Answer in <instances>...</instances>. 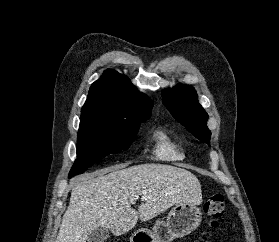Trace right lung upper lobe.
<instances>
[{"instance_id":"right-lung-upper-lobe-1","label":"right lung upper lobe","mask_w":279,"mask_h":242,"mask_svg":"<svg viewBox=\"0 0 279 242\" xmlns=\"http://www.w3.org/2000/svg\"><path fill=\"white\" fill-rule=\"evenodd\" d=\"M152 107L151 99L140 93L126 76L108 69L91 85L81 118L141 123L150 118Z\"/></svg>"}]
</instances>
